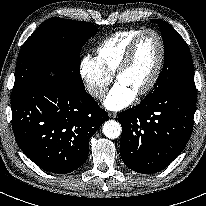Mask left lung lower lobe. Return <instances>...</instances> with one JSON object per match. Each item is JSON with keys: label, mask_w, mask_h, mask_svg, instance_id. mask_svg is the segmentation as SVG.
<instances>
[{"label": "left lung lower lobe", "mask_w": 206, "mask_h": 206, "mask_svg": "<svg viewBox=\"0 0 206 206\" xmlns=\"http://www.w3.org/2000/svg\"><path fill=\"white\" fill-rule=\"evenodd\" d=\"M195 110L196 89L185 87L121 112L120 154L126 166L143 174L167 167L191 136Z\"/></svg>", "instance_id": "0a47b994"}]
</instances>
